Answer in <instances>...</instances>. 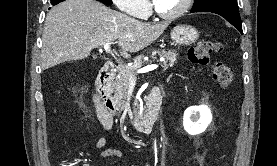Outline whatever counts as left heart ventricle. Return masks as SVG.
I'll use <instances>...</instances> for the list:
<instances>
[{
  "label": "left heart ventricle",
  "mask_w": 277,
  "mask_h": 166,
  "mask_svg": "<svg viewBox=\"0 0 277 166\" xmlns=\"http://www.w3.org/2000/svg\"><path fill=\"white\" fill-rule=\"evenodd\" d=\"M184 0H154L157 8L164 13H172L178 10Z\"/></svg>",
  "instance_id": "obj_1"
}]
</instances>
